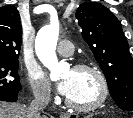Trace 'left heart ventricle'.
<instances>
[{"label": "left heart ventricle", "mask_w": 133, "mask_h": 118, "mask_svg": "<svg viewBox=\"0 0 133 118\" xmlns=\"http://www.w3.org/2000/svg\"><path fill=\"white\" fill-rule=\"evenodd\" d=\"M70 76L72 87L67 98L78 105L93 103L100 94L99 82L94 73L88 70H70L64 77Z\"/></svg>", "instance_id": "obj_1"}]
</instances>
